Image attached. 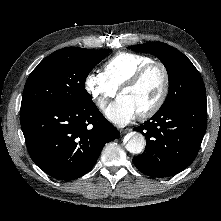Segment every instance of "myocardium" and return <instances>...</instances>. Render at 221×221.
Wrapping results in <instances>:
<instances>
[{
	"label": "myocardium",
	"mask_w": 221,
	"mask_h": 221,
	"mask_svg": "<svg viewBox=\"0 0 221 221\" xmlns=\"http://www.w3.org/2000/svg\"><path fill=\"white\" fill-rule=\"evenodd\" d=\"M153 67H159L162 70L164 75V84L162 92L157 101L148 109L137 114L140 119H147L152 117L162 108V106L166 102L171 84V76L167 66L159 61H151L140 67L137 71H135V73L132 76H130L119 88V94L121 95V93L124 90L129 89L138 84L140 80L144 77V75Z\"/></svg>",
	"instance_id": "f54148a6"
}]
</instances>
